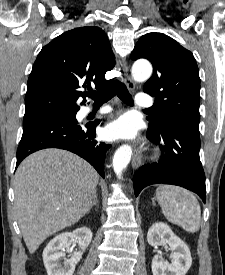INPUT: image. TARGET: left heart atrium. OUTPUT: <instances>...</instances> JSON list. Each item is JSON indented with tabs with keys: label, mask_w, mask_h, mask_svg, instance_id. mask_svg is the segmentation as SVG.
<instances>
[{
	"label": "left heart atrium",
	"mask_w": 225,
	"mask_h": 275,
	"mask_svg": "<svg viewBox=\"0 0 225 275\" xmlns=\"http://www.w3.org/2000/svg\"><path fill=\"white\" fill-rule=\"evenodd\" d=\"M137 133V125L130 117H122L105 128V136L108 139H130Z\"/></svg>",
	"instance_id": "obj_1"
}]
</instances>
